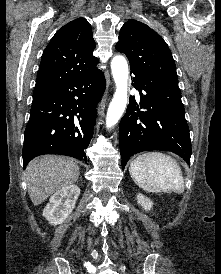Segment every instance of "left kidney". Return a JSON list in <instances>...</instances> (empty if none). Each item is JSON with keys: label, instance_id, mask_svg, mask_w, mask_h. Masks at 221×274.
I'll use <instances>...</instances> for the list:
<instances>
[{"label": "left kidney", "instance_id": "obj_1", "mask_svg": "<svg viewBox=\"0 0 221 274\" xmlns=\"http://www.w3.org/2000/svg\"><path fill=\"white\" fill-rule=\"evenodd\" d=\"M137 200H138V203L143 207L144 210H147V211L151 210L153 202L149 198H147L144 195L139 193L137 195Z\"/></svg>", "mask_w": 221, "mask_h": 274}]
</instances>
